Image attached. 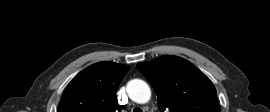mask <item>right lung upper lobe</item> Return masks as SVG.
Listing matches in <instances>:
<instances>
[{"label":"right lung upper lobe","mask_w":270,"mask_h":112,"mask_svg":"<svg viewBox=\"0 0 270 112\" xmlns=\"http://www.w3.org/2000/svg\"><path fill=\"white\" fill-rule=\"evenodd\" d=\"M128 70L108 61L87 67L67 86L57 112H120L116 91Z\"/></svg>","instance_id":"obj_1"}]
</instances>
